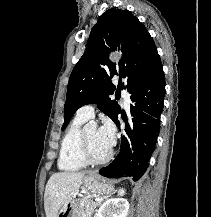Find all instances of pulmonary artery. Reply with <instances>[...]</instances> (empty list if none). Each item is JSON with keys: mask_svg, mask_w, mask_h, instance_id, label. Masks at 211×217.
Instances as JSON below:
<instances>
[{"mask_svg": "<svg viewBox=\"0 0 211 217\" xmlns=\"http://www.w3.org/2000/svg\"><path fill=\"white\" fill-rule=\"evenodd\" d=\"M122 97L126 108H129L130 95L125 89L122 90ZM76 115L82 119L89 120L94 116V106L92 104H86L77 110Z\"/></svg>", "mask_w": 211, "mask_h": 217, "instance_id": "e3ab8cb5", "label": "pulmonary artery"}]
</instances>
